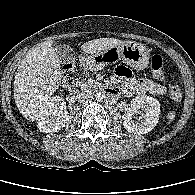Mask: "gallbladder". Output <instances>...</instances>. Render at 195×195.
Masks as SVG:
<instances>
[{
  "instance_id": "bac80fb5",
  "label": "gallbladder",
  "mask_w": 195,
  "mask_h": 195,
  "mask_svg": "<svg viewBox=\"0 0 195 195\" xmlns=\"http://www.w3.org/2000/svg\"><path fill=\"white\" fill-rule=\"evenodd\" d=\"M54 51L61 64L73 62L75 58L74 51L69 45L59 44L54 48Z\"/></svg>"
}]
</instances>
